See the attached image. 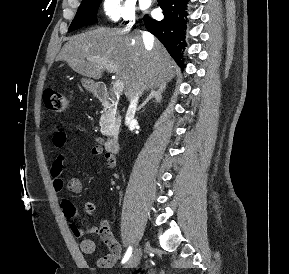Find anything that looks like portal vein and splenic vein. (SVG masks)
I'll list each match as a JSON object with an SVG mask.
<instances>
[{
	"instance_id": "1",
	"label": "portal vein and splenic vein",
	"mask_w": 289,
	"mask_h": 274,
	"mask_svg": "<svg viewBox=\"0 0 289 274\" xmlns=\"http://www.w3.org/2000/svg\"><path fill=\"white\" fill-rule=\"evenodd\" d=\"M106 69L110 72V73H116L117 68L115 65H113L112 63L106 64ZM113 92L116 95H119L120 93H122L123 89H124V83L122 80L120 79H116L113 83Z\"/></svg>"
}]
</instances>
